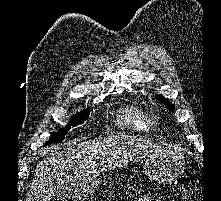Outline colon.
<instances>
[{"label": "colon", "instance_id": "obj_1", "mask_svg": "<svg viewBox=\"0 0 221 201\" xmlns=\"http://www.w3.org/2000/svg\"><path fill=\"white\" fill-rule=\"evenodd\" d=\"M182 201H197L194 189L188 183H183L180 189Z\"/></svg>", "mask_w": 221, "mask_h": 201}]
</instances>
